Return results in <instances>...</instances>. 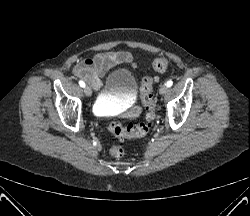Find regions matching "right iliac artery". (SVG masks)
Returning <instances> with one entry per match:
<instances>
[{"mask_svg": "<svg viewBox=\"0 0 250 216\" xmlns=\"http://www.w3.org/2000/svg\"><path fill=\"white\" fill-rule=\"evenodd\" d=\"M79 85H80L81 87H85V83H84L82 80L79 81Z\"/></svg>", "mask_w": 250, "mask_h": 216, "instance_id": "82829eb1", "label": "right iliac artery"}]
</instances>
